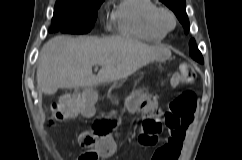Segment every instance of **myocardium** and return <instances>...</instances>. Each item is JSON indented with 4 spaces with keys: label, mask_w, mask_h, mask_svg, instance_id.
Here are the masks:
<instances>
[{
    "label": "myocardium",
    "mask_w": 242,
    "mask_h": 160,
    "mask_svg": "<svg viewBox=\"0 0 242 160\" xmlns=\"http://www.w3.org/2000/svg\"><path fill=\"white\" fill-rule=\"evenodd\" d=\"M152 20L158 28L165 32L172 31L177 24L175 14L165 7H158L153 14Z\"/></svg>",
    "instance_id": "f54148a6"
}]
</instances>
